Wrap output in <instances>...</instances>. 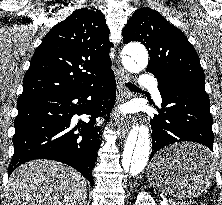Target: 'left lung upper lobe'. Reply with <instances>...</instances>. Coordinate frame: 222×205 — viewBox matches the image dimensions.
<instances>
[{
	"label": "left lung upper lobe",
	"instance_id": "obj_1",
	"mask_svg": "<svg viewBox=\"0 0 222 205\" xmlns=\"http://www.w3.org/2000/svg\"><path fill=\"white\" fill-rule=\"evenodd\" d=\"M141 42L150 61L146 71L177 78L205 90V75L199 57L187 37L159 12L142 7L123 28V42Z\"/></svg>",
	"mask_w": 222,
	"mask_h": 205
}]
</instances>
